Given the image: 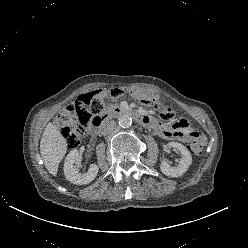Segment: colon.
Masks as SVG:
<instances>
[{"instance_id": "1", "label": "colon", "mask_w": 248, "mask_h": 248, "mask_svg": "<svg viewBox=\"0 0 248 248\" xmlns=\"http://www.w3.org/2000/svg\"><path fill=\"white\" fill-rule=\"evenodd\" d=\"M123 93H125L124 89L115 88L109 91L107 97L116 98ZM135 94L142 104L158 111L164 122H173L175 118L173 107L166 105L157 94L150 91H136ZM103 109L102 97L98 94L87 93L79 96L73 106H67L58 113L55 124L61 129L70 148L79 146L86 129L103 112ZM203 147L204 138L196 137L192 139L189 150L192 154L199 155Z\"/></svg>"}]
</instances>
